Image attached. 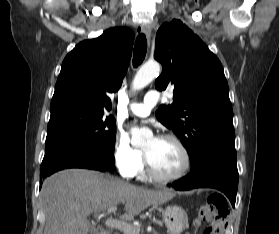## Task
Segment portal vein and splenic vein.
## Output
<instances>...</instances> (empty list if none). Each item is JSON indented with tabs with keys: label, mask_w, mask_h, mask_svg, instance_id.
Wrapping results in <instances>:
<instances>
[{
	"label": "portal vein and splenic vein",
	"mask_w": 279,
	"mask_h": 234,
	"mask_svg": "<svg viewBox=\"0 0 279 234\" xmlns=\"http://www.w3.org/2000/svg\"><path fill=\"white\" fill-rule=\"evenodd\" d=\"M116 210H117V206L114 205V206H111L108 209L107 212L108 213H112V212H115ZM105 225L108 226V227L119 229L121 231H124L125 233L134 231V227L132 225L128 224L127 222H125V221L114 220V219H107L105 221Z\"/></svg>",
	"instance_id": "18ae733b"
}]
</instances>
